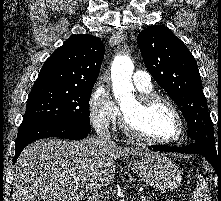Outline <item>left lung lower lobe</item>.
Returning a JSON list of instances; mask_svg holds the SVG:
<instances>
[{
  "mask_svg": "<svg viewBox=\"0 0 221 201\" xmlns=\"http://www.w3.org/2000/svg\"><path fill=\"white\" fill-rule=\"evenodd\" d=\"M149 149H154L158 151H166V152H178V153H186V154H200L204 156L208 162L214 167L218 175L221 174V151L220 148L217 149L207 146L206 144L195 141L191 144L183 147H167L160 145H152Z\"/></svg>",
  "mask_w": 221,
  "mask_h": 201,
  "instance_id": "left-lung-lower-lobe-1",
  "label": "left lung lower lobe"
}]
</instances>
